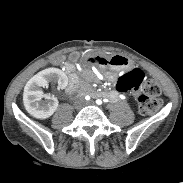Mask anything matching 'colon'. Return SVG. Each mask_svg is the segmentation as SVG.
I'll use <instances>...</instances> for the list:
<instances>
[{
    "mask_svg": "<svg viewBox=\"0 0 183 183\" xmlns=\"http://www.w3.org/2000/svg\"><path fill=\"white\" fill-rule=\"evenodd\" d=\"M59 60H61V58ZM97 60L100 63L110 62L116 65L124 64V59L121 57L111 58L110 60L98 57ZM117 89L120 92L139 91L138 103L142 114H154L162 105L159 85L153 79L146 77L138 69L122 74L118 78Z\"/></svg>",
    "mask_w": 183,
    "mask_h": 183,
    "instance_id": "1",
    "label": "colon"
}]
</instances>
